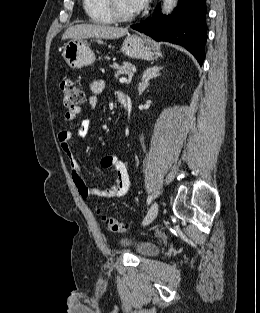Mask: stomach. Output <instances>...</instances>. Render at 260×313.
Instances as JSON below:
<instances>
[{"mask_svg":"<svg viewBox=\"0 0 260 313\" xmlns=\"http://www.w3.org/2000/svg\"><path fill=\"white\" fill-rule=\"evenodd\" d=\"M127 56L152 61L161 55L159 46L143 35H128L121 48ZM62 56L67 65L81 68L95 62L94 52L84 39H71L63 46Z\"/></svg>","mask_w":260,"mask_h":313,"instance_id":"1","label":"stomach"}]
</instances>
